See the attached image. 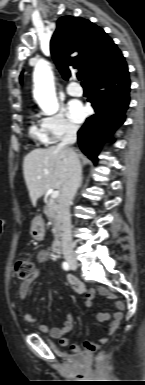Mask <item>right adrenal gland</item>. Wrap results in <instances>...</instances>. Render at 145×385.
<instances>
[{
	"instance_id": "1",
	"label": "right adrenal gland",
	"mask_w": 145,
	"mask_h": 385,
	"mask_svg": "<svg viewBox=\"0 0 145 385\" xmlns=\"http://www.w3.org/2000/svg\"><path fill=\"white\" fill-rule=\"evenodd\" d=\"M82 179H83V178H81V181H80V187H81V185H82Z\"/></svg>"
}]
</instances>
